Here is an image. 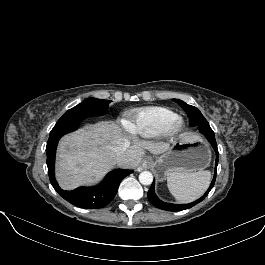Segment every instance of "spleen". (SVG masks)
<instances>
[{
    "mask_svg": "<svg viewBox=\"0 0 265 265\" xmlns=\"http://www.w3.org/2000/svg\"><path fill=\"white\" fill-rule=\"evenodd\" d=\"M211 172H170L167 175V186L176 200L188 203L199 198L208 188Z\"/></svg>",
    "mask_w": 265,
    "mask_h": 265,
    "instance_id": "1",
    "label": "spleen"
}]
</instances>
